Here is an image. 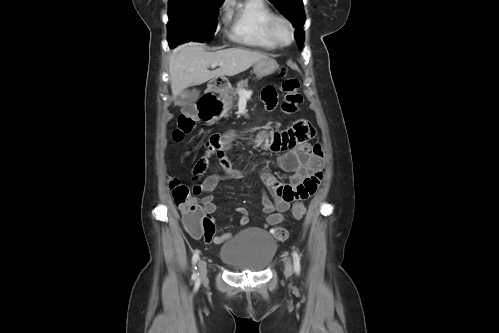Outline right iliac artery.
Wrapping results in <instances>:
<instances>
[{
  "mask_svg": "<svg viewBox=\"0 0 499 333\" xmlns=\"http://www.w3.org/2000/svg\"><path fill=\"white\" fill-rule=\"evenodd\" d=\"M199 259V252L196 251L194 254H193V257H192V263L194 265V271H193V275H192V279L195 280L197 279L198 280V276H199V273L196 271L197 270V267L195 266L197 261Z\"/></svg>",
  "mask_w": 499,
  "mask_h": 333,
  "instance_id": "right-iliac-artery-1",
  "label": "right iliac artery"
}]
</instances>
